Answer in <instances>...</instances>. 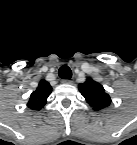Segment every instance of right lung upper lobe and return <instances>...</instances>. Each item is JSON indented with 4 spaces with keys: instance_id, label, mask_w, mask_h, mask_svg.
I'll use <instances>...</instances> for the list:
<instances>
[{
    "instance_id": "obj_1",
    "label": "right lung upper lobe",
    "mask_w": 137,
    "mask_h": 145,
    "mask_svg": "<svg viewBox=\"0 0 137 145\" xmlns=\"http://www.w3.org/2000/svg\"><path fill=\"white\" fill-rule=\"evenodd\" d=\"M52 87L46 80H41L37 89L30 95L27 106L32 110H40L47 102Z\"/></svg>"
}]
</instances>
